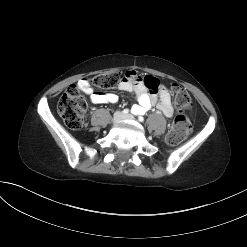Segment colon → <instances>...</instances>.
Returning a JSON list of instances; mask_svg holds the SVG:
<instances>
[{"label":"colon","instance_id":"5ec220e1","mask_svg":"<svg viewBox=\"0 0 247 247\" xmlns=\"http://www.w3.org/2000/svg\"><path fill=\"white\" fill-rule=\"evenodd\" d=\"M124 77L125 74L121 73H106L93 77L91 82L98 88L112 89L119 85ZM172 89L179 113L166 135V140L168 144L176 145L182 142L190 133V120L184 111L192 106V99L188 91L184 88L174 84ZM57 111L68 128L78 130L83 126L86 104L79 95L76 86H70L63 93L59 99Z\"/></svg>","mask_w":247,"mask_h":247}]
</instances>
